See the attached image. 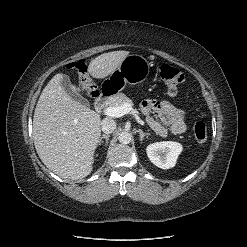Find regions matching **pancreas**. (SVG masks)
<instances>
[{
    "instance_id": "cf45deb5",
    "label": "pancreas",
    "mask_w": 247,
    "mask_h": 247,
    "mask_svg": "<svg viewBox=\"0 0 247 247\" xmlns=\"http://www.w3.org/2000/svg\"><path fill=\"white\" fill-rule=\"evenodd\" d=\"M124 103H130L133 106L132 100L123 93H117L107 101V105L110 107L121 106Z\"/></svg>"
}]
</instances>
